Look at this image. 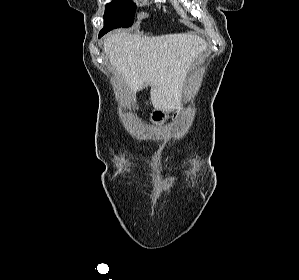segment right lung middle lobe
<instances>
[{
  "mask_svg": "<svg viewBox=\"0 0 299 280\" xmlns=\"http://www.w3.org/2000/svg\"><path fill=\"white\" fill-rule=\"evenodd\" d=\"M136 5L131 0H112L106 5L104 26L112 29L133 24Z\"/></svg>",
  "mask_w": 299,
  "mask_h": 280,
  "instance_id": "1",
  "label": "right lung middle lobe"
}]
</instances>
